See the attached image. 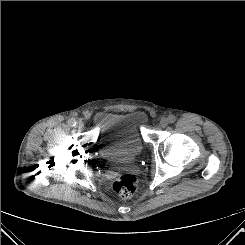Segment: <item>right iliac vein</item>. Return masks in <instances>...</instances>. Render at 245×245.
<instances>
[{
	"label": "right iliac vein",
	"mask_w": 245,
	"mask_h": 245,
	"mask_svg": "<svg viewBox=\"0 0 245 245\" xmlns=\"http://www.w3.org/2000/svg\"><path fill=\"white\" fill-rule=\"evenodd\" d=\"M83 126H84V124H83L82 121H78V122L76 123V127H77V128H82Z\"/></svg>",
	"instance_id": "obj_1"
}]
</instances>
